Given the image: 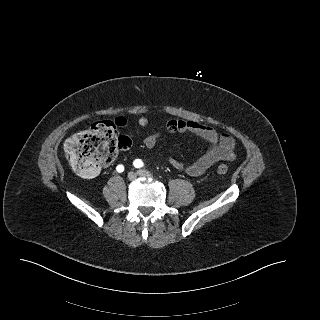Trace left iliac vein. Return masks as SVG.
<instances>
[{
    "label": "left iliac vein",
    "mask_w": 320,
    "mask_h": 320,
    "mask_svg": "<svg viewBox=\"0 0 320 320\" xmlns=\"http://www.w3.org/2000/svg\"><path fill=\"white\" fill-rule=\"evenodd\" d=\"M137 174L138 176H141V177H146V178H152V174L147 171V170H144V169H140L137 171Z\"/></svg>",
    "instance_id": "obj_1"
}]
</instances>
